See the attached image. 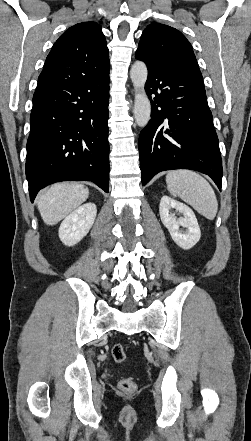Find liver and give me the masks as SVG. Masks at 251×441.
I'll return each mask as SVG.
<instances>
[{
  "label": "liver",
  "instance_id": "liver-1",
  "mask_svg": "<svg viewBox=\"0 0 251 441\" xmlns=\"http://www.w3.org/2000/svg\"><path fill=\"white\" fill-rule=\"evenodd\" d=\"M89 196V189L78 183H56L42 193L38 210L47 225H55L75 210Z\"/></svg>",
  "mask_w": 251,
  "mask_h": 441
}]
</instances>
